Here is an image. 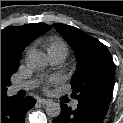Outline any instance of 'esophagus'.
Returning <instances> with one entry per match:
<instances>
[{
  "instance_id": "1",
  "label": "esophagus",
  "mask_w": 123,
  "mask_h": 123,
  "mask_svg": "<svg viewBox=\"0 0 123 123\" xmlns=\"http://www.w3.org/2000/svg\"><path fill=\"white\" fill-rule=\"evenodd\" d=\"M38 103L42 104V105H46L49 103L48 99H43V98H39L38 99Z\"/></svg>"
}]
</instances>
